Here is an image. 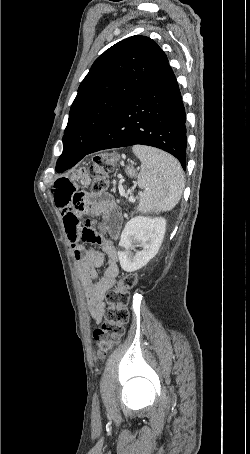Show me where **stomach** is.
Returning <instances> with one entry per match:
<instances>
[{
    "label": "stomach",
    "mask_w": 250,
    "mask_h": 454,
    "mask_svg": "<svg viewBox=\"0 0 250 454\" xmlns=\"http://www.w3.org/2000/svg\"><path fill=\"white\" fill-rule=\"evenodd\" d=\"M126 171H127V173H128L130 176H134V175H135V172H134V170H133L131 167H128V168L126 169Z\"/></svg>",
    "instance_id": "stomach-1"
}]
</instances>
